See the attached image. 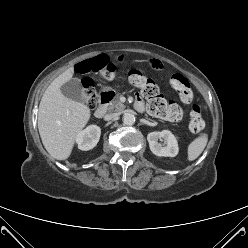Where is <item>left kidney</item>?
<instances>
[{"label":"left kidney","mask_w":248,"mask_h":248,"mask_svg":"<svg viewBox=\"0 0 248 248\" xmlns=\"http://www.w3.org/2000/svg\"><path fill=\"white\" fill-rule=\"evenodd\" d=\"M150 150L156 156L175 157L178 154V142L176 137L169 131L151 132L147 135ZM163 141V145L158 142Z\"/></svg>","instance_id":"left-kidney-1"}]
</instances>
